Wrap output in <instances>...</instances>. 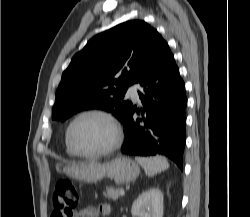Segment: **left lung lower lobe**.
<instances>
[{"instance_id":"left-lung-lower-lobe-1","label":"left lung lower lobe","mask_w":250,"mask_h":217,"mask_svg":"<svg viewBox=\"0 0 250 217\" xmlns=\"http://www.w3.org/2000/svg\"><path fill=\"white\" fill-rule=\"evenodd\" d=\"M142 108L132 106L125 121L123 154L164 155L183 169L185 84L168 44L163 40L146 73L138 80ZM137 113L140 117L135 118Z\"/></svg>"}]
</instances>
